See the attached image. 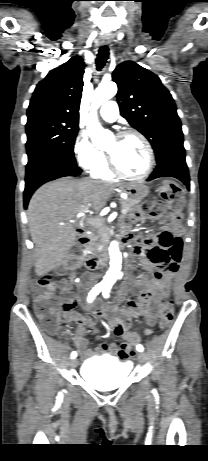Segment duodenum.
Wrapping results in <instances>:
<instances>
[{
	"label": "duodenum",
	"mask_w": 208,
	"mask_h": 461,
	"mask_svg": "<svg viewBox=\"0 0 208 461\" xmlns=\"http://www.w3.org/2000/svg\"><path fill=\"white\" fill-rule=\"evenodd\" d=\"M119 239L121 243L126 244L130 240V235L127 231H122ZM77 241L80 245L85 246L90 241L89 235L82 229H78ZM102 261L103 254L97 252L86 262V266L89 270H96L102 264Z\"/></svg>",
	"instance_id": "obj_1"
}]
</instances>
